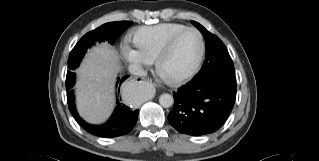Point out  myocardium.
Masks as SVG:
<instances>
[{"instance_id": "1", "label": "myocardium", "mask_w": 319, "mask_h": 161, "mask_svg": "<svg viewBox=\"0 0 319 161\" xmlns=\"http://www.w3.org/2000/svg\"><path fill=\"white\" fill-rule=\"evenodd\" d=\"M187 32H195L198 36L199 54H198L197 60L192 66V68L188 70L187 72L179 74V75H167L162 70L163 61L171 52V50L173 49L178 39ZM204 54H205V42H204L202 33L194 27H187L175 33L167 40V42L165 43V45L163 46V48L161 49V51L159 52V54L157 55L155 59V71L164 81L168 83L178 84V83L185 82L198 72L199 68L202 65Z\"/></svg>"}]
</instances>
